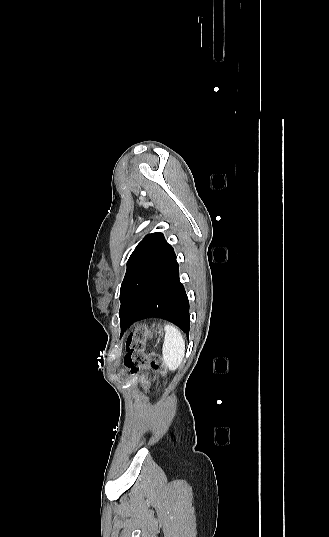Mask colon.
<instances>
[{"instance_id": "colon-1", "label": "colon", "mask_w": 329, "mask_h": 537, "mask_svg": "<svg viewBox=\"0 0 329 537\" xmlns=\"http://www.w3.org/2000/svg\"><path fill=\"white\" fill-rule=\"evenodd\" d=\"M148 333L142 329L135 330L126 344L124 363L132 374L137 375L143 386L147 385L149 378L164 373L162 359L157 353H145Z\"/></svg>"}]
</instances>
